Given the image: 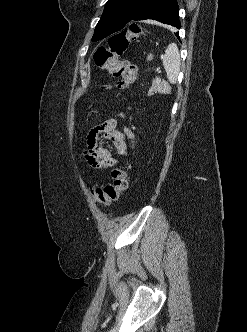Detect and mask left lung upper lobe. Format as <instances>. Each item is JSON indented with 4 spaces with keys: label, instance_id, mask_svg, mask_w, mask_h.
<instances>
[{
    "label": "left lung upper lobe",
    "instance_id": "obj_1",
    "mask_svg": "<svg viewBox=\"0 0 247 332\" xmlns=\"http://www.w3.org/2000/svg\"><path fill=\"white\" fill-rule=\"evenodd\" d=\"M147 0H108L96 25L92 41H98L128 26L131 18Z\"/></svg>",
    "mask_w": 247,
    "mask_h": 332
}]
</instances>
